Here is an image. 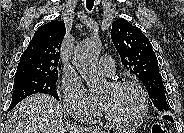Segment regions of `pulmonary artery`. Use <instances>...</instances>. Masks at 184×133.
I'll list each match as a JSON object with an SVG mask.
<instances>
[{
	"instance_id": "obj_1",
	"label": "pulmonary artery",
	"mask_w": 184,
	"mask_h": 133,
	"mask_svg": "<svg viewBox=\"0 0 184 133\" xmlns=\"http://www.w3.org/2000/svg\"><path fill=\"white\" fill-rule=\"evenodd\" d=\"M98 69L106 75H113L115 73L114 60L110 56H101Z\"/></svg>"
}]
</instances>
